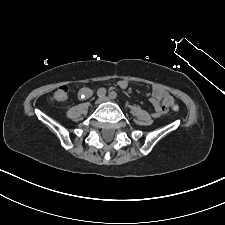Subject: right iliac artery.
Masks as SVG:
<instances>
[{
    "mask_svg": "<svg viewBox=\"0 0 225 225\" xmlns=\"http://www.w3.org/2000/svg\"><path fill=\"white\" fill-rule=\"evenodd\" d=\"M97 95L99 97H104L106 95V89L105 88H100L98 91H97Z\"/></svg>",
    "mask_w": 225,
    "mask_h": 225,
    "instance_id": "82829eb1",
    "label": "right iliac artery"
}]
</instances>
